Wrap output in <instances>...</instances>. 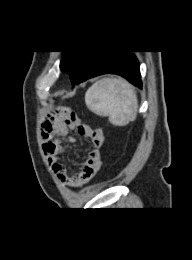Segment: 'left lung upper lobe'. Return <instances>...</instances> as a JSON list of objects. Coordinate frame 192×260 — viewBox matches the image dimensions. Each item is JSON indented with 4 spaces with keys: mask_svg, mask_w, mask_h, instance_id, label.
<instances>
[{
    "mask_svg": "<svg viewBox=\"0 0 192 260\" xmlns=\"http://www.w3.org/2000/svg\"><path fill=\"white\" fill-rule=\"evenodd\" d=\"M60 68L69 73L73 84L79 83L92 58L98 51H63Z\"/></svg>",
    "mask_w": 192,
    "mask_h": 260,
    "instance_id": "5c2ea615",
    "label": "left lung upper lobe"
}]
</instances>
